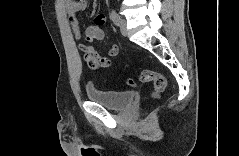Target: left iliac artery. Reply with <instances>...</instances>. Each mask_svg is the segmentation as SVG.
<instances>
[{"label": "left iliac artery", "instance_id": "1", "mask_svg": "<svg viewBox=\"0 0 239 156\" xmlns=\"http://www.w3.org/2000/svg\"><path fill=\"white\" fill-rule=\"evenodd\" d=\"M111 19L115 25H117V26L119 25L120 16L117 14V12L114 9L111 11Z\"/></svg>", "mask_w": 239, "mask_h": 156}]
</instances>
